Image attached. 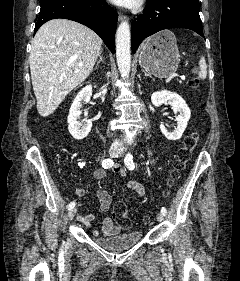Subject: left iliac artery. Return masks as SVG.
<instances>
[{
  "label": "left iliac artery",
  "instance_id": "obj_1",
  "mask_svg": "<svg viewBox=\"0 0 240 281\" xmlns=\"http://www.w3.org/2000/svg\"><path fill=\"white\" fill-rule=\"evenodd\" d=\"M124 163L126 165V167L129 169V170H134L135 169V165H134V162H133V156L131 153H128L126 155V157L124 158ZM161 213L163 215H166L167 214V210L165 207H162L161 208Z\"/></svg>",
  "mask_w": 240,
  "mask_h": 281
}]
</instances>
